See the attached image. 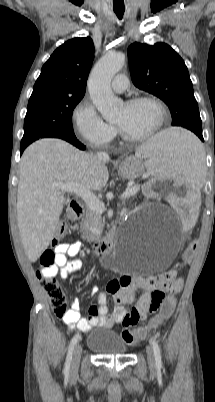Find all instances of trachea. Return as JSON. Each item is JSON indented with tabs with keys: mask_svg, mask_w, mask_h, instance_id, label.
<instances>
[{
	"mask_svg": "<svg viewBox=\"0 0 215 402\" xmlns=\"http://www.w3.org/2000/svg\"><path fill=\"white\" fill-rule=\"evenodd\" d=\"M114 12L116 13V15L119 19H122L123 14H124V9H114Z\"/></svg>",
	"mask_w": 215,
	"mask_h": 402,
	"instance_id": "1",
	"label": "trachea"
}]
</instances>
